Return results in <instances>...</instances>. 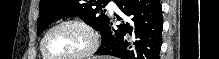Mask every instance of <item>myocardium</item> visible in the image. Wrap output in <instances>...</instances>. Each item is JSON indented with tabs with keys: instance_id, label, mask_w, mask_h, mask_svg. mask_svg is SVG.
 <instances>
[{
	"instance_id": "myocardium-1",
	"label": "myocardium",
	"mask_w": 219,
	"mask_h": 59,
	"mask_svg": "<svg viewBox=\"0 0 219 59\" xmlns=\"http://www.w3.org/2000/svg\"><path fill=\"white\" fill-rule=\"evenodd\" d=\"M65 25H76L80 28H82L89 37V44L85 50H83L80 53H77L73 56L68 57H55L51 55L46 48V41L49 37V35L57 28L65 26ZM99 46V39L95 32V30L84 20L78 19V18H68L65 20H61L54 24L52 27H50L46 33L44 34L41 43H40V50L41 53L47 58V59H85L91 55H93Z\"/></svg>"
}]
</instances>
